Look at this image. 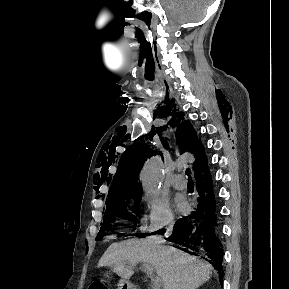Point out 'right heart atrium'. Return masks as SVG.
<instances>
[{"label": "right heart atrium", "instance_id": "right-heart-atrium-1", "mask_svg": "<svg viewBox=\"0 0 289 289\" xmlns=\"http://www.w3.org/2000/svg\"><path fill=\"white\" fill-rule=\"evenodd\" d=\"M143 203L147 214L142 230L153 233L174 224L175 215L166 195L146 193L143 197Z\"/></svg>", "mask_w": 289, "mask_h": 289}]
</instances>
